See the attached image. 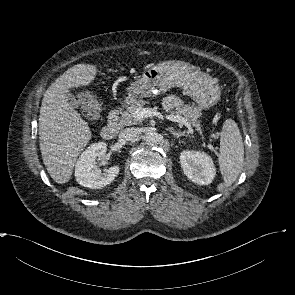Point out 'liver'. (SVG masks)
Wrapping results in <instances>:
<instances>
[{
    "label": "liver",
    "mask_w": 295,
    "mask_h": 295,
    "mask_svg": "<svg viewBox=\"0 0 295 295\" xmlns=\"http://www.w3.org/2000/svg\"><path fill=\"white\" fill-rule=\"evenodd\" d=\"M143 54L150 53H139ZM96 73L94 65H74L44 93L39 116L40 150L49 175L58 184L70 180L77 157L91 139L87 122L69 104L67 94L71 88L89 85Z\"/></svg>",
    "instance_id": "1"
}]
</instances>
